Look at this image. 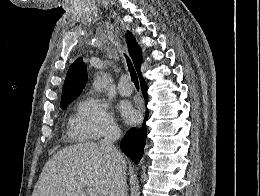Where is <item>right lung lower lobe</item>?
<instances>
[{
  "label": "right lung lower lobe",
  "instance_id": "obj_1",
  "mask_svg": "<svg viewBox=\"0 0 260 196\" xmlns=\"http://www.w3.org/2000/svg\"><path fill=\"white\" fill-rule=\"evenodd\" d=\"M141 88L145 100L147 101V84L143 78H140ZM148 113L145 115V120L140 128H131L124 136L121 142V150L131 158L136 164L142 158L144 147L146 144V120Z\"/></svg>",
  "mask_w": 260,
  "mask_h": 196
}]
</instances>
